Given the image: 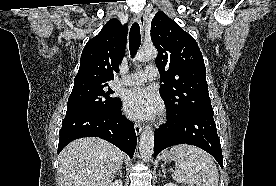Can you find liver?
Here are the masks:
<instances>
[{"label":"liver","instance_id":"6515ba94","mask_svg":"<svg viewBox=\"0 0 276 186\" xmlns=\"http://www.w3.org/2000/svg\"><path fill=\"white\" fill-rule=\"evenodd\" d=\"M125 154L103 139L72 141L59 154L64 186H110Z\"/></svg>","mask_w":276,"mask_h":186}]
</instances>
